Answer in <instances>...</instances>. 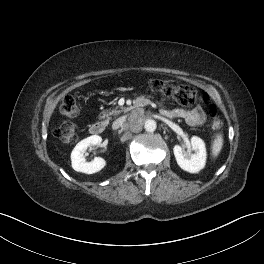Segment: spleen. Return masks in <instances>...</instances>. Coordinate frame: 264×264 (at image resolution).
Segmentation results:
<instances>
[{
  "label": "spleen",
  "instance_id": "spleen-1",
  "mask_svg": "<svg viewBox=\"0 0 264 264\" xmlns=\"http://www.w3.org/2000/svg\"><path fill=\"white\" fill-rule=\"evenodd\" d=\"M223 146V137L222 135H218L212 144V155L217 157L222 149Z\"/></svg>",
  "mask_w": 264,
  "mask_h": 264
}]
</instances>
